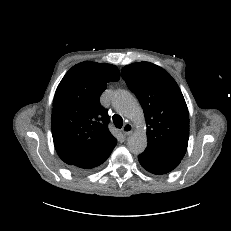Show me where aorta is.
<instances>
[{
  "label": "aorta",
  "instance_id": "aorta-1",
  "mask_svg": "<svg viewBox=\"0 0 231 231\" xmlns=\"http://www.w3.org/2000/svg\"><path fill=\"white\" fill-rule=\"evenodd\" d=\"M114 109L138 125L145 126L144 112L134 97L126 90H117L112 97ZM128 149L133 154H141L147 147V135L144 130L133 133L127 141Z\"/></svg>",
  "mask_w": 231,
  "mask_h": 231
}]
</instances>
